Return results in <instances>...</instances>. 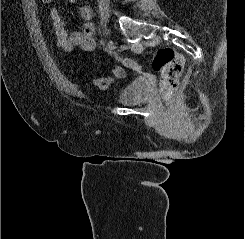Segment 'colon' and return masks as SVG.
Instances as JSON below:
<instances>
[{
    "label": "colon",
    "mask_w": 245,
    "mask_h": 239,
    "mask_svg": "<svg viewBox=\"0 0 245 239\" xmlns=\"http://www.w3.org/2000/svg\"><path fill=\"white\" fill-rule=\"evenodd\" d=\"M51 1L42 0L43 3H50ZM184 64L183 55L171 47L163 46L155 52L152 66L155 71L160 73V92L164 99H169L176 90ZM123 78V69L116 67L111 76L97 78L93 81V84L100 90H107L115 80Z\"/></svg>",
    "instance_id": "1"
}]
</instances>
